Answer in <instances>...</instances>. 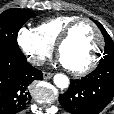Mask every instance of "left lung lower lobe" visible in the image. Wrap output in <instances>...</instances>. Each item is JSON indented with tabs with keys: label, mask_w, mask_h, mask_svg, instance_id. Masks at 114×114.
<instances>
[{
	"label": "left lung lower lobe",
	"mask_w": 114,
	"mask_h": 114,
	"mask_svg": "<svg viewBox=\"0 0 114 114\" xmlns=\"http://www.w3.org/2000/svg\"><path fill=\"white\" fill-rule=\"evenodd\" d=\"M114 96V63L98 65L81 80H71L61 105L72 114H98Z\"/></svg>",
	"instance_id": "1"
}]
</instances>
